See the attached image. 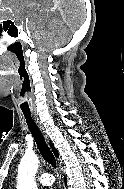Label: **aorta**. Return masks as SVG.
Instances as JSON below:
<instances>
[{"label": "aorta", "mask_w": 124, "mask_h": 189, "mask_svg": "<svg viewBox=\"0 0 124 189\" xmlns=\"http://www.w3.org/2000/svg\"><path fill=\"white\" fill-rule=\"evenodd\" d=\"M39 160L34 154H25L18 167L17 189H38L35 182V175L38 169Z\"/></svg>", "instance_id": "762f6f07"}]
</instances>
